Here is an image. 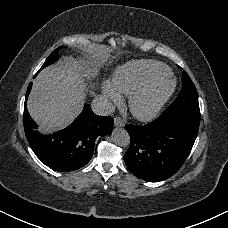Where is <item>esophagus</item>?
Wrapping results in <instances>:
<instances>
[{
	"label": "esophagus",
	"mask_w": 228,
	"mask_h": 228,
	"mask_svg": "<svg viewBox=\"0 0 228 228\" xmlns=\"http://www.w3.org/2000/svg\"><path fill=\"white\" fill-rule=\"evenodd\" d=\"M121 119H122L121 117L115 118L114 125L116 127H124L125 124H124L123 120H121Z\"/></svg>",
	"instance_id": "obj_1"
}]
</instances>
